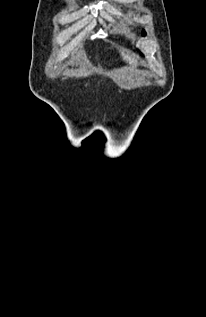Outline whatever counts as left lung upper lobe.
<instances>
[{
  "mask_svg": "<svg viewBox=\"0 0 206 317\" xmlns=\"http://www.w3.org/2000/svg\"><path fill=\"white\" fill-rule=\"evenodd\" d=\"M142 35H146L145 31L142 32Z\"/></svg>",
  "mask_w": 206,
  "mask_h": 317,
  "instance_id": "left-lung-upper-lobe-1",
  "label": "left lung upper lobe"
}]
</instances>
